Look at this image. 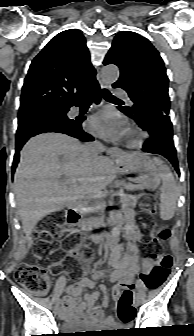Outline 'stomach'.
Instances as JSON below:
<instances>
[{
	"instance_id": "0dacf381",
	"label": "stomach",
	"mask_w": 194,
	"mask_h": 336,
	"mask_svg": "<svg viewBox=\"0 0 194 336\" xmlns=\"http://www.w3.org/2000/svg\"><path fill=\"white\" fill-rule=\"evenodd\" d=\"M123 174H136L139 189H156L160 184V175L154 163L144 154H123L115 159Z\"/></svg>"
}]
</instances>
